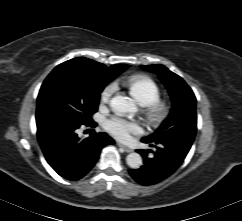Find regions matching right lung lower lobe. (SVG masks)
<instances>
[{"instance_id":"obj_1","label":"right lung lower lobe","mask_w":242,"mask_h":221,"mask_svg":"<svg viewBox=\"0 0 242 221\" xmlns=\"http://www.w3.org/2000/svg\"><path fill=\"white\" fill-rule=\"evenodd\" d=\"M80 126L61 121L37 124L38 141L47 162L71 181L84 177L97 162L101 149L114 143L106 133L94 131L82 140L76 134Z\"/></svg>"}]
</instances>
